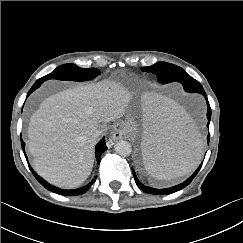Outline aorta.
Listing matches in <instances>:
<instances>
[{
	"label": "aorta",
	"mask_w": 243,
	"mask_h": 243,
	"mask_svg": "<svg viewBox=\"0 0 243 243\" xmlns=\"http://www.w3.org/2000/svg\"><path fill=\"white\" fill-rule=\"evenodd\" d=\"M114 150L121 156H129L132 152V147L129 142L121 140L115 144Z\"/></svg>",
	"instance_id": "762f6f07"
}]
</instances>
